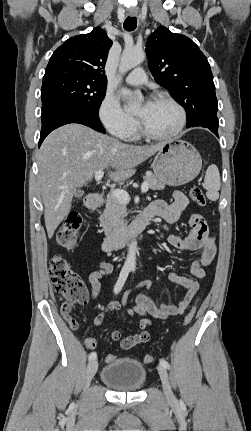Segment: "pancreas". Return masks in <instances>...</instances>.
<instances>
[{
	"label": "pancreas",
	"instance_id": "pancreas-1",
	"mask_svg": "<svg viewBox=\"0 0 251 431\" xmlns=\"http://www.w3.org/2000/svg\"><path fill=\"white\" fill-rule=\"evenodd\" d=\"M144 179L149 183L152 190H163L165 188V184L150 171L146 173ZM126 216V205L111 195L107 196L105 210L99 217L100 226L103 227L105 236L114 237L119 234L127 225L124 222Z\"/></svg>",
	"mask_w": 251,
	"mask_h": 431
}]
</instances>
